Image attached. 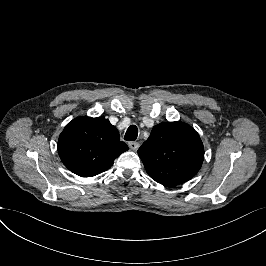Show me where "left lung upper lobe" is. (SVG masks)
<instances>
[{"label":"left lung upper lobe","mask_w":266,"mask_h":266,"mask_svg":"<svg viewBox=\"0 0 266 266\" xmlns=\"http://www.w3.org/2000/svg\"><path fill=\"white\" fill-rule=\"evenodd\" d=\"M138 155L152 179L173 187L197 174L204 147L198 133L188 124L163 122L153 127Z\"/></svg>","instance_id":"1"}]
</instances>
